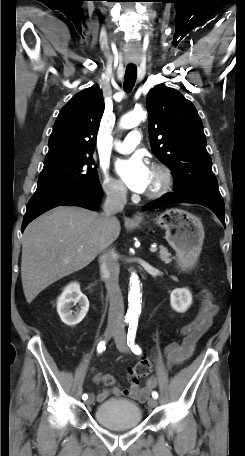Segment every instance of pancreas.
<instances>
[{
	"instance_id": "obj_1",
	"label": "pancreas",
	"mask_w": 245,
	"mask_h": 456,
	"mask_svg": "<svg viewBox=\"0 0 245 456\" xmlns=\"http://www.w3.org/2000/svg\"><path fill=\"white\" fill-rule=\"evenodd\" d=\"M159 258L164 261L166 264L172 262L171 254L168 252V249L162 245L159 246Z\"/></svg>"
}]
</instances>
